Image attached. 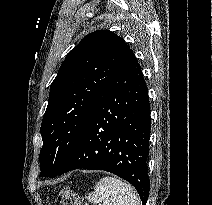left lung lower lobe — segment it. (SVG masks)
I'll return each mask as SVG.
<instances>
[{
  "mask_svg": "<svg viewBox=\"0 0 212 205\" xmlns=\"http://www.w3.org/2000/svg\"><path fill=\"white\" fill-rule=\"evenodd\" d=\"M150 129L146 82L129 49L59 175L81 168L111 172L130 182L146 205Z\"/></svg>",
  "mask_w": 212,
  "mask_h": 205,
  "instance_id": "1",
  "label": "left lung lower lobe"
}]
</instances>
